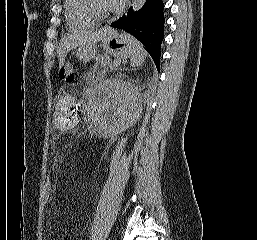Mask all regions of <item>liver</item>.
<instances>
[{"instance_id": "1", "label": "liver", "mask_w": 257, "mask_h": 240, "mask_svg": "<svg viewBox=\"0 0 257 240\" xmlns=\"http://www.w3.org/2000/svg\"><path fill=\"white\" fill-rule=\"evenodd\" d=\"M108 28H102L96 31H81L79 33L68 34L64 36L58 47V58L60 67L63 66L65 58L69 51L81 47L95 45L101 41Z\"/></svg>"}]
</instances>
